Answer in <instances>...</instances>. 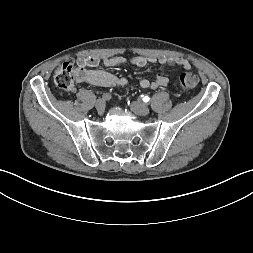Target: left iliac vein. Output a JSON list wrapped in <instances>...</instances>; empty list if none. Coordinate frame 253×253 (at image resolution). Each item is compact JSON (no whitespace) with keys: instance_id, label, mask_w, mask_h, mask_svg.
Masks as SVG:
<instances>
[{"instance_id":"1","label":"left iliac vein","mask_w":253,"mask_h":253,"mask_svg":"<svg viewBox=\"0 0 253 253\" xmlns=\"http://www.w3.org/2000/svg\"><path fill=\"white\" fill-rule=\"evenodd\" d=\"M130 107H131V110L139 116H146L150 112L149 107L144 103L135 101L131 103Z\"/></svg>"}]
</instances>
